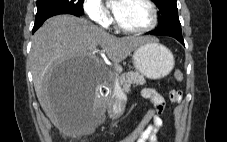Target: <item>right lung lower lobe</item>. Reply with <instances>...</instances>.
Masks as SVG:
<instances>
[{"label": "right lung lower lobe", "instance_id": "obj_1", "mask_svg": "<svg viewBox=\"0 0 227 142\" xmlns=\"http://www.w3.org/2000/svg\"><path fill=\"white\" fill-rule=\"evenodd\" d=\"M60 14H72V15H75V16H81V15L74 14V13H60ZM54 15H56V14L48 15V16H44V17H40V18H36L32 33H34L43 24V22L46 19H48V18H50V17H52Z\"/></svg>", "mask_w": 227, "mask_h": 142}]
</instances>
